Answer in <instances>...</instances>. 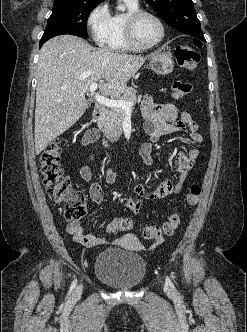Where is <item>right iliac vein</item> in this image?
Wrapping results in <instances>:
<instances>
[{
  "label": "right iliac vein",
  "mask_w": 247,
  "mask_h": 332,
  "mask_svg": "<svg viewBox=\"0 0 247 332\" xmlns=\"http://www.w3.org/2000/svg\"><path fill=\"white\" fill-rule=\"evenodd\" d=\"M82 290H83V286H82V284H80V285L75 289V291H74V293H73V296H74V297L80 296L81 293H82Z\"/></svg>",
  "instance_id": "obj_1"
}]
</instances>
